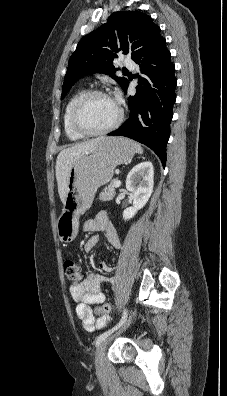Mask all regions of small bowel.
<instances>
[{"label":"small bowel","instance_id":"c3829d8e","mask_svg":"<svg viewBox=\"0 0 227 396\" xmlns=\"http://www.w3.org/2000/svg\"><path fill=\"white\" fill-rule=\"evenodd\" d=\"M83 228L88 232L103 231L108 243L114 248H120L119 235L105 213L100 212L93 218L87 219ZM98 242L99 238L97 236L90 237L84 245V250L90 252ZM99 267L104 272L113 270V267L103 261L99 263ZM107 281L108 278L105 276L92 274L87 279L70 287L71 296L76 302V315L82 326L88 331L103 328L107 323L108 316L97 317L91 308V305H102L105 302L106 298L102 292V287Z\"/></svg>","mask_w":227,"mask_h":396}]
</instances>
